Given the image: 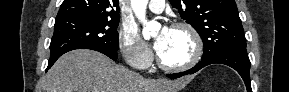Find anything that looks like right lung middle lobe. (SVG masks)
Returning a JSON list of instances; mask_svg holds the SVG:
<instances>
[{
	"label": "right lung middle lobe",
	"instance_id": "right-lung-middle-lobe-1",
	"mask_svg": "<svg viewBox=\"0 0 289 92\" xmlns=\"http://www.w3.org/2000/svg\"><path fill=\"white\" fill-rule=\"evenodd\" d=\"M120 19L75 17L56 20L51 39L50 59L74 49L92 47L117 51Z\"/></svg>",
	"mask_w": 289,
	"mask_h": 92
}]
</instances>
